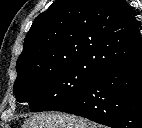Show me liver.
<instances>
[{
  "instance_id": "6515ba94",
  "label": "liver",
  "mask_w": 142,
  "mask_h": 128,
  "mask_svg": "<svg viewBox=\"0 0 142 128\" xmlns=\"http://www.w3.org/2000/svg\"><path fill=\"white\" fill-rule=\"evenodd\" d=\"M21 128H100L82 117L63 113H39L24 121Z\"/></svg>"
}]
</instances>
